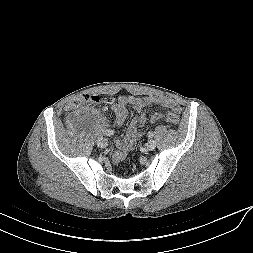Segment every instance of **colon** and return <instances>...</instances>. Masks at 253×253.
Returning <instances> with one entry per match:
<instances>
[{"label": "colon", "instance_id": "obj_1", "mask_svg": "<svg viewBox=\"0 0 253 253\" xmlns=\"http://www.w3.org/2000/svg\"><path fill=\"white\" fill-rule=\"evenodd\" d=\"M101 102H103V100L98 96L83 95L70 102L67 109L70 112H74L83 108L86 104H97ZM166 120L171 124L177 125L180 122V117L175 113H169L166 115Z\"/></svg>", "mask_w": 253, "mask_h": 253}]
</instances>
